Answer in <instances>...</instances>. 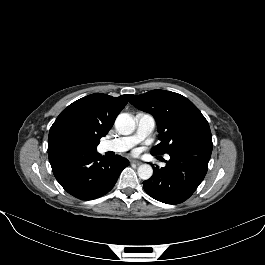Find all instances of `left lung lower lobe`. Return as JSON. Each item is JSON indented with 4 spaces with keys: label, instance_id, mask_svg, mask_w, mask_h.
Segmentation results:
<instances>
[{
    "label": "left lung lower lobe",
    "instance_id": "obj_1",
    "mask_svg": "<svg viewBox=\"0 0 265 265\" xmlns=\"http://www.w3.org/2000/svg\"><path fill=\"white\" fill-rule=\"evenodd\" d=\"M212 147V138H202L170 152L166 166L153 167V176L143 182L146 193L166 204L187 200L207 173Z\"/></svg>",
    "mask_w": 265,
    "mask_h": 265
}]
</instances>
